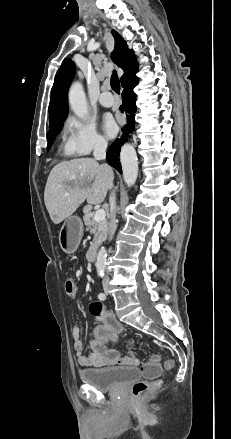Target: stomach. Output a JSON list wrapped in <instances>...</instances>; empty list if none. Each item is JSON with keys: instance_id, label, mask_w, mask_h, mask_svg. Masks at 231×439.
I'll return each instance as SVG.
<instances>
[{"instance_id": "0dacf381", "label": "stomach", "mask_w": 231, "mask_h": 439, "mask_svg": "<svg viewBox=\"0 0 231 439\" xmlns=\"http://www.w3.org/2000/svg\"><path fill=\"white\" fill-rule=\"evenodd\" d=\"M83 236V223L78 216L68 217L59 232V244L61 249L67 253H74Z\"/></svg>"}]
</instances>
